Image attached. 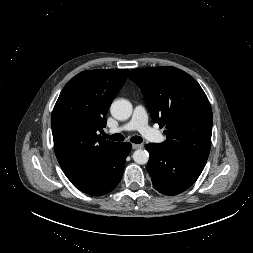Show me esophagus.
Here are the masks:
<instances>
[{
    "mask_svg": "<svg viewBox=\"0 0 253 253\" xmlns=\"http://www.w3.org/2000/svg\"><path fill=\"white\" fill-rule=\"evenodd\" d=\"M142 147H143L142 144H132V149H140Z\"/></svg>",
    "mask_w": 253,
    "mask_h": 253,
    "instance_id": "esophagus-1",
    "label": "esophagus"
}]
</instances>
